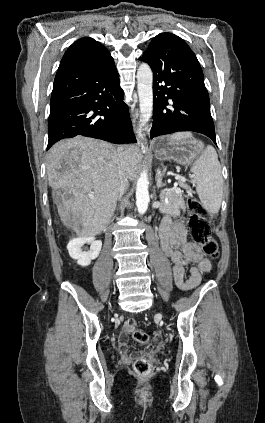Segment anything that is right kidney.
<instances>
[{"label":"right kidney","instance_id":"right-kidney-1","mask_svg":"<svg viewBox=\"0 0 265 423\" xmlns=\"http://www.w3.org/2000/svg\"><path fill=\"white\" fill-rule=\"evenodd\" d=\"M85 244H90L89 251H82ZM101 248L102 242L96 240L94 236L78 237L71 240L67 245L70 257L77 260L78 265L83 267L90 265L91 261L99 256Z\"/></svg>","mask_w":265,"mask_h":423}]
</instances>
